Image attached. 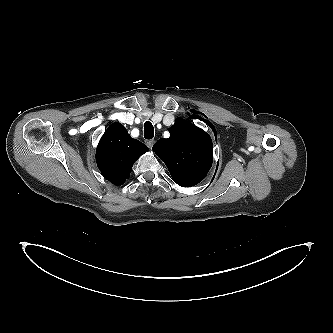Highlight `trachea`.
<instances>
[{
	"mask_svg": "<svg viewBox=\"0 0 333 333\" xmlns=\"http://www.w3.org/2000/svg\"><path fill=\"white\" fill-rule=\"evenodd\" d=\"M144 137L146 139H152L154 137V127L149 121L144 123Z\"/></svg>",
	"mask_w": 333,
	"mask_h": 333,
	"instance_id": "trachea-1",
	"label": "trachea"
}]
</instances>
